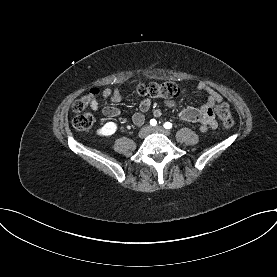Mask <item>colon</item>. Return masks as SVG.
Instances as JSON below:
<instances>
[{
	"mask_svg": "<svg viewBox=\"0 0 277 277\" xmlns=\"http://www.w3.org/2000/svg\"><path fill=\"white\" fill-rule=\"evenodd\" d=\"M137 92L146 97L171 99L179 95V87L173 82H150L141 84L137 88ZM97 95V90H92L88 95L78 99L73 110L77 115L73 119V126L79 131L89 130L95 121L92 113L86 112L91 100ZM216 113L226 128H231L234 125V119L228 104L221 103L216 107Z\"/></svg>",
	"mask_w": 277,
	"mask_h": 277,
	"instance_id": "obj_1",
	"label": "colon"
}]
</instances>
